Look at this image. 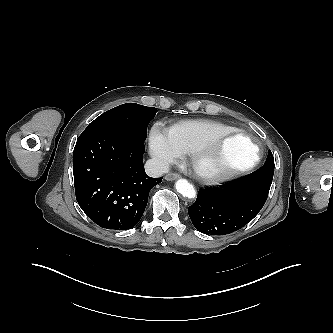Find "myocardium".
I'll return each mask as SVG.
<instances>
[{
	"label": "myocardium",
	"mask_w": 333,
	"mask_h": 333,
	"mask_svg": "<svg viewBox=\"0 0 333 333\" xmlns=\"http://www.w3.org/2000/svg\"><path fill=\"white\" fill-rule=\"evenodd\" d=\"M232 137H243L255 147V155L252 160L241 166L227 167L209 171L203 170L201 168V163L211 157L225 140ZM260 159L261 148L259 143L247 132L241 129H233L231 131L219 134L190 153V164L193 173L199 180L207 184L222 183L243 173H246L253 169L259 163Z\"/></svg>",
	"instance_id": "obj_1"
}]
</instances>
